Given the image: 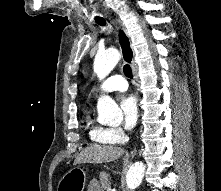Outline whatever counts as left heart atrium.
<instances>
[{
	"instance_id": "39dd6f15",
	"label": "left heart atrium",
	"mask_w": 221,
	"mask_h": 191,
	"mask_svg": "<svg viewBox=\"0 0 221 191\" xmlns=\"http://www.w3.org/2000/svg\"><path fill=\"white\" fill-rule=\"evenodd\" d=\"M120 106L125 128L133 129L137 124L139 115L137 98L134 95H126L122 98Z\"/></svg>"
}]
</instances>
